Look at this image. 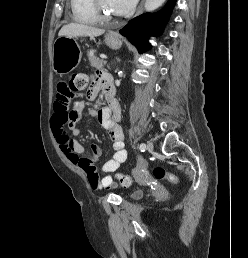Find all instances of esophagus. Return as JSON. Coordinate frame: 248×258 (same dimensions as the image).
<instances>
[{"label": "esophagus", "instance_id": "obj_1", "mask_svg": "<svg viewBox=\"0 0 248 258\" xmlns=\"http://www.w3.org/2000/svg\"><path fill=\"white\" fill-rule=\"evenodd\" d=\"M143 5H144V0H141L139 6L137 8V11H136V16H138L142 12Z\"/></svg>", "mask_w": 248, "mask_h": 258}]
</instances>
